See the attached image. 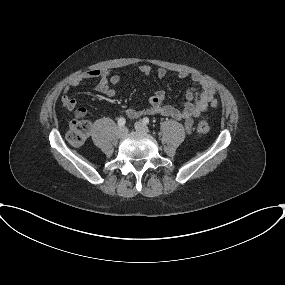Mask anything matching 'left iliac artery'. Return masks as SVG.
Masks as SVG:
<instances>
[{
    "mask_svg": "<svg viewBox=\"0 0 285 285\" xmlns=\"http://www.w3.org/2000/svg\"><path fill=\"white\" fill-rule=\"evenodd\" d=\"M143 124H148L149 123V118L145 117L142 120Z\"/></svg>",
    "mask_w": 285,
    "mask_h": 285,
    "instance_id": "1",
    "label": "left iliac artery"
}]
</instances>
